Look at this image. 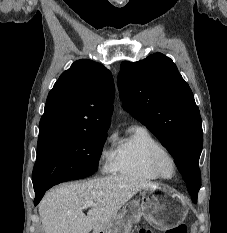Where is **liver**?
Here are the masks:
<instances>
[{
	"instance_id": "obj_1",
	"label": "liver",
	"mask_w": 227,
	"mask_h": 233,
	"mask_svg": "<svg viewBox=\"0 0 227 233\" xmlns=\"http://www.w3.org/2000/svg\"><path fill=\"white\" fill-rule=\"evenodd\" d=\"M157 184L130 176H108L73 183L48 192L39 205L45 233H99L137 192ZM87 201L91 207L83 212Z\"/></svg>"
}]
</instances>
